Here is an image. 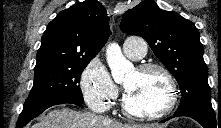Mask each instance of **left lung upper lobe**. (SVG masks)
<instances>
[{"label": "left lung upper lobe", "instance_id": "1", "mask_svg": "<svg viewBox=\"0 0 221 128\" xmlns=\"http://www.w3.org/2000/svg\"><path fill=\"white\" fill-rule=\"evenodd\" d=\"M120 28L127 34L143 37L176 78L182 94L176 113L192 108L213 109L204 49L199 31L191 21L145 0L125 12Z\"/></svg>", "mask_w": 221, "mask_h": 128}]
</instances>
